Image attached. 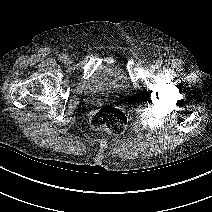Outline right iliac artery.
<instances>
[{
    "label": "right iliac artery",
    "instance_id": "1",
    "mask_svg": "<svg viewBox=\"0 0 212 212\" xmlns=\"http://www.w3.org/2000/svg\"><path fill=\"white\" fill-rule=\"evenodd\" d=\"M59 58H60L61 61H64L65 58H66V55L65 54H62V55L59 56Z\"/></svg>",
    "mask_w": 212,
    "mask_h": 212
}]
</instances>
